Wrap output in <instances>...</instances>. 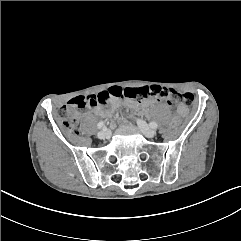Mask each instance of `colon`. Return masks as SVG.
<instances>
[{
    "label": "colon",
    "mask_w": 241,
    "mask_h": 241,
    "mask_svg": "<svg viewBox=\"0 0 241 241\" xmlns=\"http://www.w3.org/2000/svg\"><path fill=\"white\" fill-rule=\"evenodd\" d=\"M121 97L131 99H147L154 97L165 100L169 103H178L183 108L190 107L194 101V98L190 93H178L173 89L158 85L133 88L112 87L98 95H80L72 98L59 109L58 117L65 127L77 132L79 115L82 110L99 104H105L111 98ZM169 125L170 129L174 131L181 125V120L170 119Z\"/></svg>",
    "instance_id": "1"
}]
</instances>
